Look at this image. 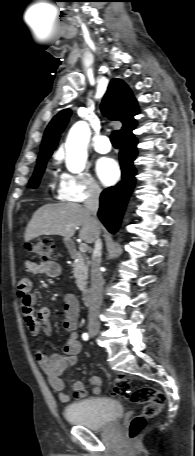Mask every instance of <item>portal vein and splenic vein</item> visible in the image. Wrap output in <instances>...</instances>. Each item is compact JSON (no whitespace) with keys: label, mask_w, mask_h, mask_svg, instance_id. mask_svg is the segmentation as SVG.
<instances>
[{"label":"portal vein and splenic vein","mask_w":195,"mask_h":456,"mask_svg":"<svg viewBox=\"0 0 195 456\" xmlns=\"http://www.w3.org/2000/svg\"><path fill=\"white\" fill-rule=\"evenodd\" d=\"M87 249H88V246H87L86 244H81V245L79 246L80 252H86Z\"/></svg>","instance_id":"18ae733b"}]
</instances>
